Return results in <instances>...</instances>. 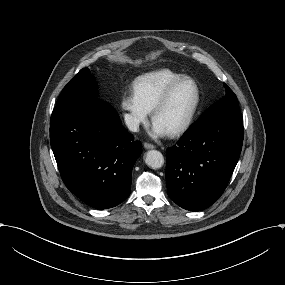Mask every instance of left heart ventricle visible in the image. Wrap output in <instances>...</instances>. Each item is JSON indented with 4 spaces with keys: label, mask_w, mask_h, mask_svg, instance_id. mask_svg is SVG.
<instances>
[{
    "label": "left heart ventricle",
    "mask_w": 285,
    "mask_h": 285,
    "mask_svg": "<svg viewBox=\"0 0 285 285\" xmlns=\"http://www.w3.org/2000/svg\"><path fill=\"white\" fill-rule=\"evenodd\" d=\"M197 96L196 87L192 82L180 85L172 94L169 102L156 115L159 122L167 131L181 124L189 115Z\"/></svg>",
    "instance_id": "1"
}]
</instances>
